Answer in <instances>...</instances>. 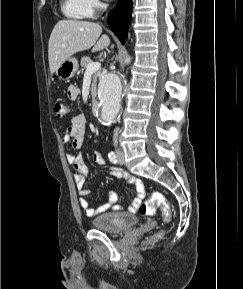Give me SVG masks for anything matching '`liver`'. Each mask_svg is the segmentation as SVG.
I'll use <instances>...</instances> for the list:
<instances>
[{
    "instance_id": "1",
    "label": "liver",
    "mask_w": 243,
    "mask_h": 289,
    "mask_svg": "<svg viewBox=\"0 0 243 289\" xmlns=\"http://www.w3.org/2000/svg\"><path fill=\"white\" fill-rule=\"evenodd\" d=\"M98 23L73 19L60 20L49 38L48 59L50 73L56 72L63 61L77 52L92 48L97 52L110 45L107 35H102ZM100 37V38H99Z\"/></svg>"
}]
</instances>
